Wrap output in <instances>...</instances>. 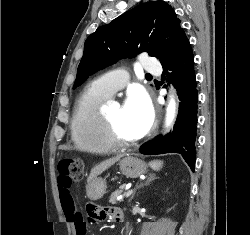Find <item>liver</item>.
<instances>
[{
  "label": "liver",
  "instance_id": "1",
  "mask_svg": "<svg viewBox=\"0 0 250 235\" xmlns=\"http://www.w3.org/2000/svg\"><path fill=\"white\" fill-rule=\"evenodd\" d=\"M122 155H118L114 158H110L106 161L101 162L100 164L96 165L94 168H92L90 175L87 179V182L90 183L94 178H96L98 175L102 174L105 170H107L109 167L114 165Z\"/></svg>",
  "mask_w": 250,
  "mask_h": 235
}]
</instances>
